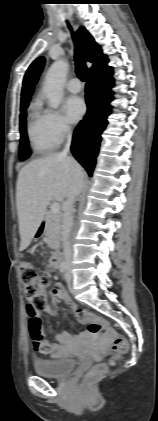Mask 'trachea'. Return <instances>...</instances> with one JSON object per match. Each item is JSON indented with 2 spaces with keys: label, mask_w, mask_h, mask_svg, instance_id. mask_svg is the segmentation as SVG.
<instances>
[{
  "label": "trachea",
  "mask_w": 158,
  "mask_h": 421,
  "mask_svg": "<svg viewBox=\"0 0 158 421\" xmlns=\"http://www.w3.org/2000/svg\"><path fill=\"white\" fill-rule=\"evenodd\" d=\"M71 29V27L69 26ZM75 66H76V74L82 80L86 81L88 75V69L85 64V60L78 49H75Z\"/></svg>",
  "instance_id": "3493384b"
}]
</instances>
